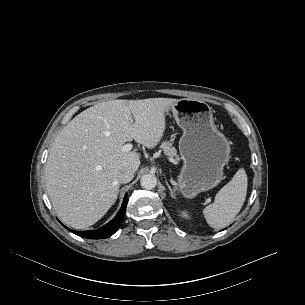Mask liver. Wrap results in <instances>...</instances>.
<instances>
[{
  "label": "liver",
  "instance_id": "obj_1",
  "mask_svg": "<svg viewBox=\"0 0 305 305\" xmlns=\"http://www.w3.org/2000/svg\"><path fill=\"white\" fill-rule=\"evenodd\" d=\"M171 98L111 100L87 108L55 138L45 165L52 205L66 225L84 229L116 202L120 170L140 166V154L124 152L133 139L154 148L161 140ZM134 121H133V118Z\"/></svg>",
  "mask_w": 305,
  "mask_h": 305
}]
</instances>
